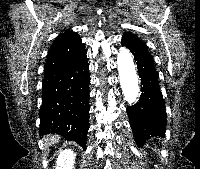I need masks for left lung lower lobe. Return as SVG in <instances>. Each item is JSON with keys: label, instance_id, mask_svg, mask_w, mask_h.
Here are the masks:
<instances>
[{"label": "left lung lower lobe", "instance_id": "1", "mask_svg": "<svg viewBox=\"0 0 200 169\" xmlns=\"http://www.w3.org/2000/svg\"><path fill=\"white\" fill-rule=\"evenodd\" d=\"M134 55L139 77L141 78V96L139 102L127 108L131 129L136 144L143 145L152 137L165 134L166 112L158 84V73L154 68L152 56L146 52H137L125 40H121Z\"/></svg>", "mask_w": 200, "mask_h": 169}]
</instances>
